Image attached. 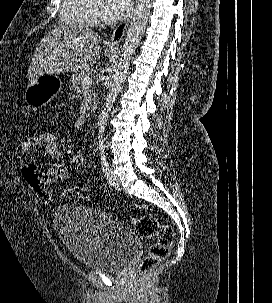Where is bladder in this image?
<instances>
[{
    "mask_svg": "<svg viewBox=\"0 0 272 303\" xmlns=\"http://www.w3.org/2000/svg\"><path fill=\"white\" fill-rule=\"evenodd\" d=\"M54 222L68 251L86 268L120 272L137 252L136 233L110 213L67 203L57 209Z\"/></svg>",
    "mask_w": 272,
    "mask_h": 303,
    "instance_id": "31cf9c89",
    "label": "bladder"
}]
</instances>
